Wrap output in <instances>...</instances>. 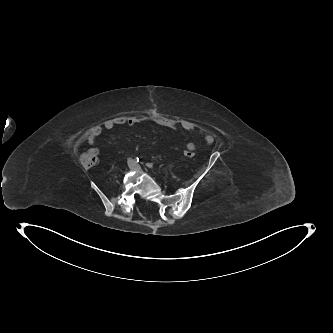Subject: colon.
Here are the masks:
<instances>
[{
    "label": "colon",
    "mask_w": 333,
    "mask_h": 333,
    "mask_svg": "<svg viewBox=\"0 0 333 333\" xmlns=\"http://www.w3.org/2000/svg\"><path fill=\"white\" fill-rule=\"evenodd\" d=\"M183 155H184V157H186L188 159L189 158L196 159V158H198L199 153L196 150L192 151L190 149H186V150H184ZM80 161H81L82 166L92 167L97 162V155L92 150H90L81 156Z\"/></svg>",
    "instance_id": "5ec220e1"
}]
</instances>
